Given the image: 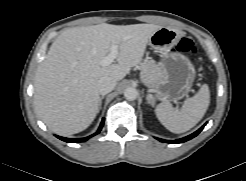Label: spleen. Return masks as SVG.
I'll list each match as a JSON object with an SVG mask.
<instances>
[{
	"label": "spleen",
	"mask_w": 246,
	"mask_h": 181,
	"mask_svg": "<svg viewBox=\"0 0 246 181\" xmlns=\"http://www.w3.org/2000/svg\"><path fill=\"white\" fill-rule=\"evenodd\" d=\"M209 103V87L203 84L195 96L184 101L180 110H175L169 102H162L157 105L155 112L164 127L179 134L190 130L203 118Z\"/></svg>",
	"instance_id": "3e777b00"
}]
</instances>
